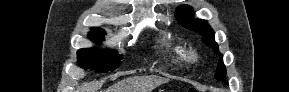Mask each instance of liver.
Returning a JSON list of instances; mask_svg holds the SVG:
<instances>
[{
	"instance_id": "liver-1",
	"label": "liver",
	"mask_w": 289,
	"mask_h": 92,
	"mask_svg": "<svg viewBox=\"0 0 289 92\" xmlns=\"http://www.w3.org/2000/svg\"><path fill=\"white\" fill-rule=\"evenodd\" d=\"M168 81V78L156 75L131 77L113 85L106 92H152L157 86Z\"/></svg>"
}]
</instances>
